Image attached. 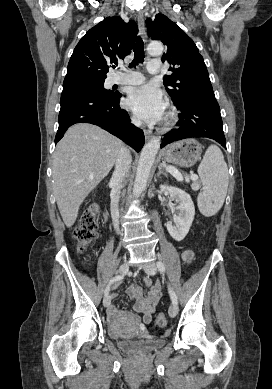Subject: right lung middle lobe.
I'll return each instance as SVG.
<instances>
[{
	"label": "right lung middle lobe",
	"instance_id": "obj_1",
	"mask_svg": "<svg viewBox=\"0 0 272 389\" xmlns=\"http://www.w3.org/2000/svg\"><path fill=\"white\" fill-rule=\"evenodd\" d=\"M65 90H86L96 92L102 95L113 96L117 92H113L111 90H106L104 88V80L101 81H90V82H82L72 85L63 86V91Z\"/></svg>",
	"mask_w": 272,
	"mask_h": 389
}]
</instances>
